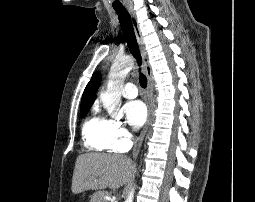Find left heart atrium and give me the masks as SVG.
Here are the masks:
<instances>
[{"label": "left heart atrium", "instance_id": "left-heart-atrium-1", "mask_svg": "<svg viewBox=\"0 0 255 202\" xmlns=\"http://www.w3.org/2000/svg\"><path fill=\"white\" fill-rule=\"evenodd\" d=\"M124 111L129 124L133 128H139L144 124L147 110L143 102L139 100L130 101L125 104Z\"/></svg>", "mask_w": 255, "mask_h": 202}]
</instances>
